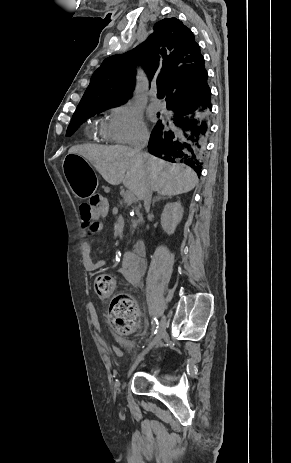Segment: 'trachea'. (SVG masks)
Wrapping results in <instances>:
<instances>
[{
    "instance_id": "trachea-1",
    "label": "trachea",
    "mask_w": 291,
    "mask_h": 463,
    "mask_svg": "<svg viewBox=\"0 0 291 463\" xmlns=\"http://www.w3.org/2000/svg\"><path fill=\"white\" fill-rule=\"evenodd\" d=\"M158 98L160 99H163L165 97V93L164 92H158Z\"/></svg>"
}]
</instances>
